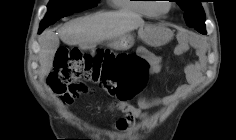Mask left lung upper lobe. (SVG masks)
Segmentation results:
<instances>
[{"mask_svg": "<svg viewBox=\"0 0 236 140\" xmlns=\"http://www.w3.org/2000/svg\"><path fill=\"white\" fill-rule=\"evenodd\" d=\"M185 12L184 18L189 27H194L201 34H206L205 13L201 0H175Z\"/></svg>", "mask_w": 236, "mask_h": 140, "instance_id": "1", "label": "left lung upper lobe"}]
</instances>
